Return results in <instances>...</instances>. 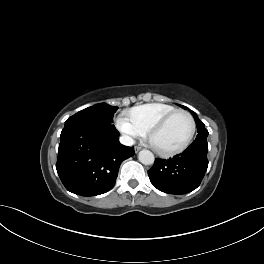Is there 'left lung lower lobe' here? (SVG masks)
<instances>
[{"label":"left lung lower lobe","instance_id":"left-lung-lower-lobe-1","mask_svg":"<svg viewBox=\"0 0 264 264\" xmlns=\"http://www.w3.org/2000/svg\"><path fill=\"white\" fill-rule=\"evenodd\" d=\"M207 140H195L172 159H156L148 171L151 183L169 194H186L196 189L208 167Z\"/></svg>","mask_w":264,"mask_h":264}]
</instances>
